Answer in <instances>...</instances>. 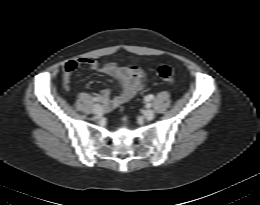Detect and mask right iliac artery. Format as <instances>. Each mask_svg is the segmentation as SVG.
I'll use <instances>...</instances> for the list:
<instances>
[{
	"label": "right iliac artery",
	"mask_w": 260,
	"mask_h": 205,
	"mask_svg": "<svg viewBox=\"0 0 260 205\" xmlns=\"http://www.w3.org/2000/svg\"><path fill=\"white\" fill-rule=\"evenodd\" d=\"M94 101H95V102H98V101H99V99H98L97 97H95V98H94Z\"/></svg>",
	"instance_id": "82829eb1"
}]
</instances>
